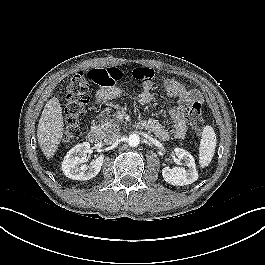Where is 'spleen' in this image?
Here are the masks:
<instances>
[{"instance_id":"spleen-1","label":"spleen","mask_w":265,"mask_h":265,"mask_svg":"<svg viewBox=\"0 0 265 265\" xmlns=\"http://www.w3.org/2000/svg\"><path fill=\"white\" fill-rule=\"evenodd\" d=\"M216 134L210 125L203 128L202 137L199 148V164L200 167H207L214 156L216 148Z\"/></svg>"}]
</instances>
